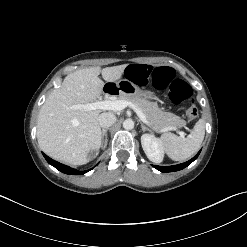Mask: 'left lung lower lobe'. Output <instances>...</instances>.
Segmentation results:
<instances>
[{"label":"left lung lower lobe","mask_w":247,"mask_h":247,"mask_svg":"<svg viewBox=\"0 0 247 247\" xmlns=\"http://www.w3.org/2000/svg\"><path fill=\"white\" fill-rule=\"evenodd\" d=\"M200 151L192 159H190L187 162H184V163H181V164H178V165H173V166H157V165H154V167L157 170L161 171V172H173V171H178V170L184 169L185 167L190 165L194 160L197 159V157L200 154Z\"/></svg>","instance_id":"1"}]
</instances>
